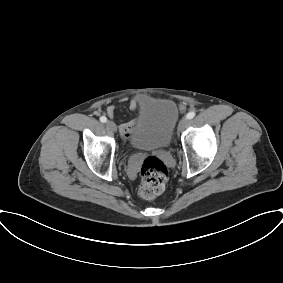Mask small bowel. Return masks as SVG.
<instances>
[{
    "label": "small bowel",
    "instance_id": "obj_1",
    "mask_svg": "<svg viewBox=\"0 0 283 283\" xmlns=\"http://www.w3.org/2000/svg\"><path fill=\"white\" fill-rule=\"evenodd\" d=\"M146 100L143 97H135L129 100L128 106L130 110H136L139 106L145 104ZM181 111L184 110V107H180ZM106 113L109 117H114L115 115V106L109 105L106 109ZM137 120H130L123 122L119 125L120 133L123 137L128 138L133 130L136 128Z\"/></svg>",
    "mask_w": 283,
    "mask_h": 283
}]
</instances>
